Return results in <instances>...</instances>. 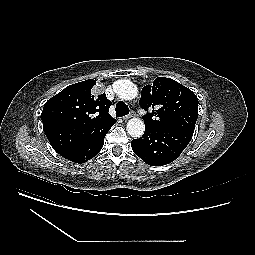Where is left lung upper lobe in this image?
<instances>
[{"instance_id": "5c2ea615", "label": "left lung upper lobe", "mask_w": 255, "mask_h": 255, "mask_svg": "<svg viewBox=\"0 0 255 255\" xmlns=\"http://www.w3.org/2000/svg\"><path fill=\"white\" fill-rule=\"evenodd\" d=\"M139 104L147 113L145 126L193 133L198 118L196 95L171 78L158 77L142 89Z\"/></svg>"}]
</instances>
